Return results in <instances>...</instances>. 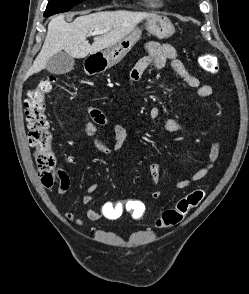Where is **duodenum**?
Listing matches in <instances>:
<instances>
[{
	"mask_svg": "<svg viewBox=\"0 0 249 294\" xmlns=\"http://www.w3.org/2000/svg\"><path fill=\"white\" fill-rule=\"evenodd\" d=\"M102 68H103L102 65L88 61L86 63L85 72L87 75H94V74L100 72L102 70ZM89 112L92 116L94 113H98L99 110L95 107H90Z\"/></svg>",
	"mask_w": 249,
	"mask_h": 294,
	"instance_id": "obj_1",
	"label": "duodenum"
}]
</instances>
